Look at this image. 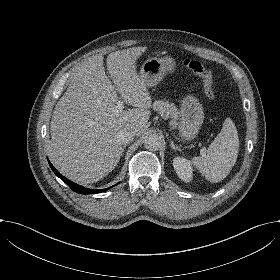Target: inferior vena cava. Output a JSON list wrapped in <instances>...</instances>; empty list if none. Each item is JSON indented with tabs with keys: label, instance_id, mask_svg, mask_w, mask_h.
Here are the masks:
<instances>
[{
	"label": "inferior vena cava",
	"instance_id": "602c4592",
	"mask_svg": "<svg viewBox=\"0 0 280 280\" xmlns=\"http://www.w3.org/2000/svg\"><path fill=\"white\" fill-rule=\"evenodd\" d=\"M135 133L129 130H121L116 134V139L123 145H127L133 141Z\"/></svg>",
	"mask_w": 280,
	"mask_h": 280
}]
</instances>
